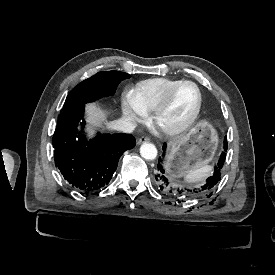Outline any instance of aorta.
<instances>
[{
    "label": "aorta",
    "instance_id": "762f6f07",
    "mask_svg": "<svg viewBox=\"0 0 275 275\" xmlns=\"http://www.w3.org/2000/svg\"><path fill=\"white\" fill-rule=\"evenodd\" d=\"M140 154L146 160H155L158 155V151L155 145L151 143H144L140 147Z\"/></svg>",
    "mask_w": 275,
    "mask_h": 275
}]
</instances>
